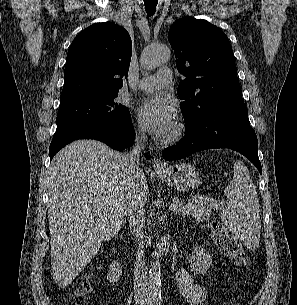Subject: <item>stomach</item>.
I'll use <instances>...</instances> for the list:
<instances>
[{"instance_id": "0dacf381", "label": "stomach", "mask_w": 297, "mask_h": 305, "mask_svg": "<svg viewBox=\"0 0 297 305\" xmlns=\"http://www.w3.org/2000/svg\"><path fill=\"white\" fill-rule=\"evenodd\" d=\"M157 174L163 181L178 191L192 190L200 184L199 173L189 163L166 166L162 170H157Z\"/></svg>"}]
</instances>
